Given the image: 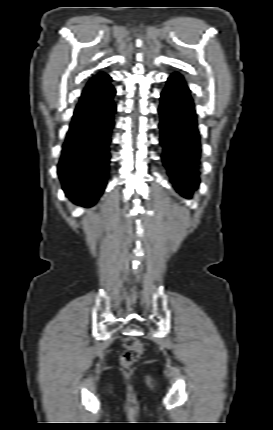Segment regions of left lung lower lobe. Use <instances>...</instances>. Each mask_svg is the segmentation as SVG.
<instances>
[{
  "label": "left lung lower lobe",
  "mask_w": 273,
  "mask_h": 430,
  "mask_svg": "<svg viewBox=\"0 0 273 430\" xmlns=\"http://www.w3.org/2000/svg\"><path fill=\"white\" fill-rule=\"evenodd\" d=\"M159 114L163 163L176 191L190 198L199 184L200 138L190 90L178 73L167 80Z\"/></svg>",
  "instance_id": "1"
}]
</instances>
